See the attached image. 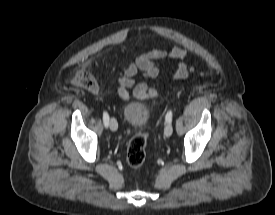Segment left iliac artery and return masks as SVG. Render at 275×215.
<instances>
[{"label": "left iliac artery", "instance_id": "44dca946", "mask_svg": "<svg viewBox=\"0 0 275 215\" xmlns=\"http://www.w3.org/2000/svg\"><path fill=\"white\" fill-rule=\"evenodd\" d=\"M165 119H166L167 123H170L172 121V112L171 111L167 112Z\"/></svg>", "mask_w": 275, "mask_h": 215}]
</instances>
